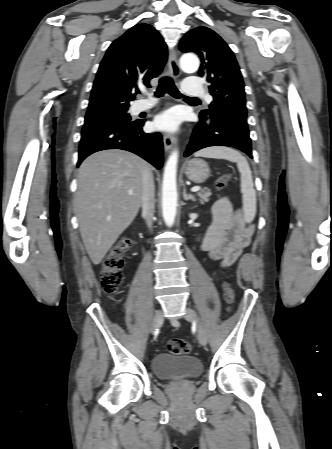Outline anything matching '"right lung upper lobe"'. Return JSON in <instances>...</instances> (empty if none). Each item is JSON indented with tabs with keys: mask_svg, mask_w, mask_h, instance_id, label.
Masks as SVG:
<instances>
[{
	"mask_svg": "<svg viewBox=\"0 0 332 449\" xmlns=\"http://www.w3.org/2000/svg\"><path fill=\"white\" fill-rule=\"evenodd\" d=\"M167 61V46L149 24H137L107 49L98 69L87 113L129 107L137 85L150 87Z\"/></svg>",
	"mask_w": 332,
	"mask_h": 449,
	"instance_id": "cb5924a9",
	"label": "right lung upper lobe"
}]
</instances>
